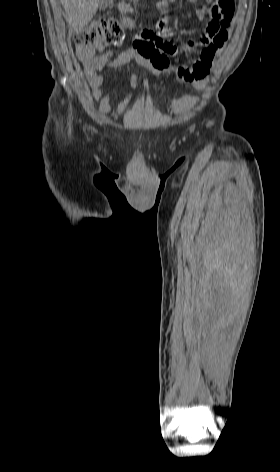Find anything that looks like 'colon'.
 <instances>
[{"instance_id": "obj_1", "label": "colon", "mask_w": 280, "mask_h": 472, "mask_svg": "<svg viewBox=\"0 0 280 472\" xmlns=\"http://www.w3.org/2000/svg\"><path fill=\"white\" fill-rule=\"evenodd\" d=\"M173 1V0H170ZM235 10V0H216L209 9V21L214 25L230 23ZM125 37L122 24L111 19L101 18L88 24L75 34V44L90 48H101L107 45H119Z\"/></svg>"}]
</instances>
